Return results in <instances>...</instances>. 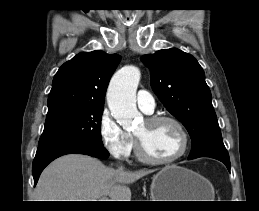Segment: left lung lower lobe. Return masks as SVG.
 Instances as JSON below:
<instances>
[{"mask_svg": "<svg viewBox=\"0 0 259 211\" xmlns=\"http://www.w3.org/2000/svg\"><path fill=\"white\" fill-rule=\"evenodd\" d=\"M200 157H211V158L217 159V160L223 162L226 165V167L228 168V170L230 171L229 156L223 157V156H217V155H204V156H200ZM188 159H194V158H188Z\"/></svg>", "mask_w": 259, "mask_h": 211, "instance_id": "obj_1", "label": "left lung lower lobe"}]
</instances>
